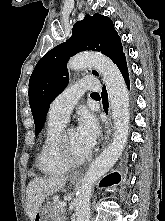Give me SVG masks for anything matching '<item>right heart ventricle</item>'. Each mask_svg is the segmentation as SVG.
I'll return each instance as SVG.
<instances>
[{
    "label": "right heart ventricle",
    "instance_id": "1",
    "mask_svg": "<svg viewBox=\"0 0 165 221\" xmlns=\"http://www.w3.org/2000/svg\"><path fill=\"white\" fill-rule=\"evenodd\" d=\"M64 125V122L48 119L37 162L38 168L43 174L56 176L71 169L60 160L57 153V140Z\"/></svg>",
    "mask_w": 165,
    "mask_h": 221
}]
</instances>
